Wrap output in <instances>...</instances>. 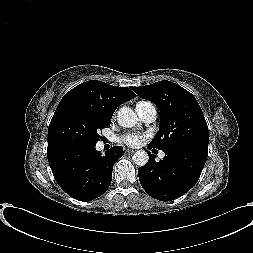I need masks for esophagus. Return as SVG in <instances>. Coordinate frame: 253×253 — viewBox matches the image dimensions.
Here are the masks:
<instances>
[{
	"label": "esophagus",
	"instance_id": "esophagus-1",
	"mask_svg": "<svg viewBox=\"0 0 253 253\" xmlns=\"http://www.w3.org/2000/svg\"><path fill=\"white\" fill-rule=\"evenodd\" d=\"M125 152H126V153H134L135 150H134V149H129V148H128V149H125Z\"/></svg>",
	"mask_w": 253,
	"mask_h": 253
}]
</instances>
